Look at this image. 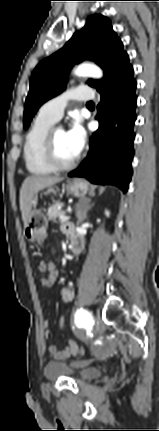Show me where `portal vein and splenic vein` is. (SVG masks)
Instances as JSON below:
<instances>
[{"label":"portal vein and splenic vein","instance_id":"obj_1","mask_svg":"<svg viewBox=\"0 0 159 431\" xmlns=\"http://www.w3.org/2000/svg\"><path fill=\"white\" fill-rule=\"evenodd\" d=\"M59 218H60V221H67L70 219V217L65 214H62Z\"/></svg>","mask_w":159,"mask_h":431}]
</instances>
